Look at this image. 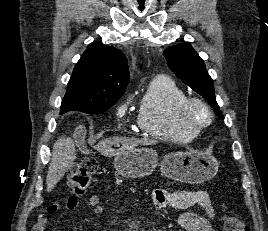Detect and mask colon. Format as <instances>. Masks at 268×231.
Masks as SVG:
<instances>
[{"instance_id":"1","label":"colon","mask_w":268,"mask_h":231,"mask_svg":"<svg viewBox=\"0 0 268 231\" xmlns=\"http://www.w3.org/2000/svg\"><path fill=\"white\" fill-rule=\"evenodd\" d=\"M96 169L97 163L92 159L84 160L76 166L71 167L69 172V189L71 196L67 203L69 209L74 208L77 203V197L86 192ZM40 221H42V218H40ZM222 223L224 231H250L249 225L231 215H225L222 219Z\"/></svg>"}]
</instances>
